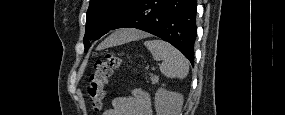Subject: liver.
Returning a JSON list of instances; mask_svg holds the SVG:
<instances>
[{"mask_svg":"<svg viewBox=\"0 0 285 115\" xmlns=\"http://www.w3.org/2000/svg\"><path fill=\"white\" fill-rule=\"evenodd\" d=\"M148 34L139 30L124 29L115 32L106 38L98 47L97 50H103L109 47L121 45L132 40H137L147 37Z\"/></svg>","mask_w":285,"mask_h":115,"instance_id":"obj_1","label":"liver"}]
</instances>
